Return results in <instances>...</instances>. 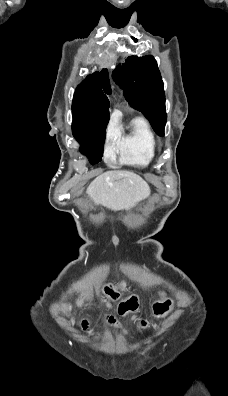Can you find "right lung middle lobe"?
Segmentation results:
<instances>
[{
    "instance_id": "obj_1",
    "label": "right lung middle lobe",
    "mask_w": 228,
    "mask_h": 396,
    "mask_svg": "<svg viewBox=\"0 0 228 396\" xmlns=\"http://www.w3.org/2000/svg\"><path fill=\"white\" fill-rule=\"evenodd\" d=\"M108 121L109 112L93 117L73 115V135L81 144L80 151L87 154L92 165L102 159Z\"/></svg>"
}]
</instances>
